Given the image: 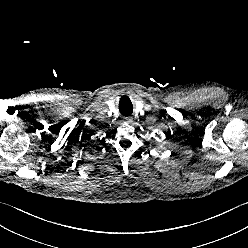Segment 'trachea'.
<instances>
[{
  "instance_id": "obj_1",
  "label": "trachea",
  "mask_w": 248,
  "mask_h": 248,
  "mask_svg": "<svg viewBox=\"0 0 248 248\" xmlns=\"http://www.w3.org/2000/svg\"><path fill=\"white\" fill-rule=\"evenodd\" d=\"M132 111H133V108H132V105L129 104V105H125V106H121L120 107V113L124 116H129L132 114Z\"/></svg>"
}]
</instances>
